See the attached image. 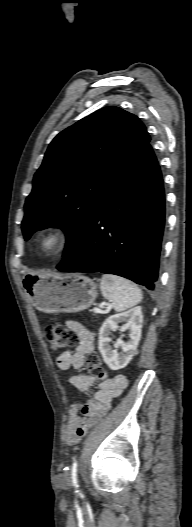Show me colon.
<instances>
[{"instance_id": "5ec220e1", "label": "colon", "mask_w": 192, "mask_h": 527, "mask_svg": "<svg viewBox=\"0 0 192 527\" xmlns=\"http://www.w3.org/2000/svg\"><path fill=\"white\" fill-rule=\"evenodd\" d=\"M44 334L52 349L56 351L75 345L78 338L75 331L56 323L46 326ZM86 369L95 378L102 379L104 377L102 364L96 352L87 355Z\"/></svg>"}]
</instances>
